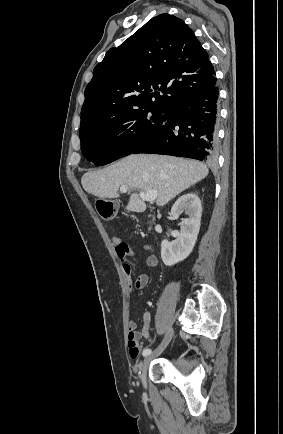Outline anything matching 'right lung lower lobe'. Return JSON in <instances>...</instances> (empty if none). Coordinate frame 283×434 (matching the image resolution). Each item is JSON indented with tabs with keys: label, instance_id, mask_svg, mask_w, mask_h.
<instances>
[{
	"label": "right lung lower lobe",
	"instance_id": "right-lung-lower-lobe-1",
	"mask_svg": "<svg viewBox=\"0 0 283 434\" xmlns=\"http://www.w3.org/2000/svg\"><path fill=\"white\" fill-rule=\"evenodd\" d=\"M166 122L132 153H153L213 162L216 159L218 88L188 97L165 111Z\"/></svg>",
	"mask_w": 283,
	"mask_h": 434
}]
</instances>
